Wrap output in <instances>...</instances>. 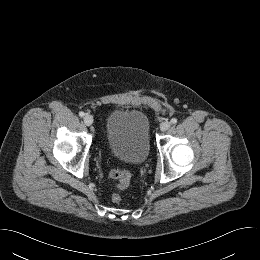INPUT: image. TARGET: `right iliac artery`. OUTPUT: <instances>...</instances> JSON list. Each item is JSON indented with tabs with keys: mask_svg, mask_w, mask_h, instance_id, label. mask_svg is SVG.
<instances>
[{
	"mask_svg": "<svg viewBox=\"0 0 260 260\" xmlns=\"http://www.w3.org/2000/svg\"><path fill=\"white\" fill-rule=\"evenodd\" d=\"M79 116H80V117H84V116H85V113L81 111V112H79Z\"/></svg>",
	"mask_w": 260,
	"mask_h": 260,
	"instance_id": "obj_1",
	"label": "right iliac artery"
}]
</instances>
